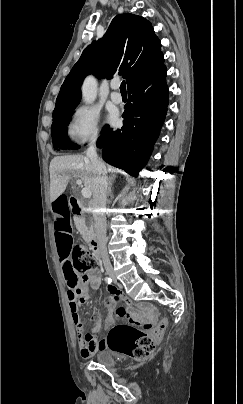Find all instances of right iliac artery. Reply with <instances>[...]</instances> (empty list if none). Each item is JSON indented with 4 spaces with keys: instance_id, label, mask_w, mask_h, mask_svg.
Instances as JSON below:
<instances>
[{
    "instance_id": "82829eb1",
    "label": "right iliac artery",
    "mask_w": 243,
    "mask_h": 404,
    "mask_svg": "<svg viewBox=\"0 0 243 404\" xmlns=\"http://www.w3.org/2000/svg\"><path fill=\"white\" fill-rule=\"evenodd\" d=\"M105 282L108 283V284H110V283H112V279H111L110 277H106V278H105Z\"/></svg>"
}]
</instances>
